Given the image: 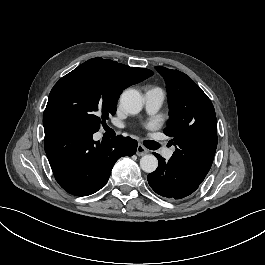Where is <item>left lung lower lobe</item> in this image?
<instances>
[{"label":"left lung lower lobe","mask_w":265,"mask_h":265,"mask_svg":"<svg viewBox=\"0 0 265 265\" xmlns=\"http://www.w3.org/2000/svg\"><path fill=\"white\" fill-rule=\"evenodd\" d=\"M158 168L147 177L150 187L159 195L169 199H182L192 194L203 182L179 163L165 161L159 154Z\"/></svg>","instance_id":"0a47b994"}]
</instances>
